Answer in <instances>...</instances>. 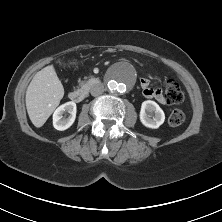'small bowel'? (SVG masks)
<instances>
[{"mask_svg":"<svg viewBox=\"0 0 222 222\" xmlns=\"http://www.w3.org/2000/svg\"><path fill=\"white\" fill-rule=\"evenodd\" d=\"M140 85L143 91V94L148 99H155L161 104H166V101L162 95V92L158 88H154L151 86L149 79L141 78Z\"/></svg>","mask_w":222,"mask_h":222,"instance_id":"1","label":"small bowel"}]
</instances>
